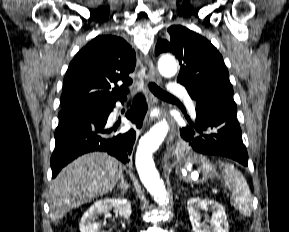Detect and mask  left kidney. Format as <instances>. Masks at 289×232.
I'll list each match as a JSON object with an SVG mask.
<instances>
[{
	"label": "left kidney",
	"mask_w": 289,
	"mask_h": 232,
	"mask_svg": "<svg viewBox=\"0 0 289 232\" xmlns=\"http://www.w3.org/2000/svg\"><path fill=\"white\" fill-rule=\"evenodd\" d=\"M187 208L194 232H229L225 209L216 201L193 197L188 200ZM201 211L212 212L211 219L208 220L210 226L201 220Z\"/></svg>",
	"instance_id": "5707ae66"
}]
</instances>
